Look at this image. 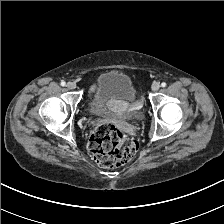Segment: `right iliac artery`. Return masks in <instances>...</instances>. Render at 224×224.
<instances>
[{
    "mask_svg": "<svg viewBox=\"0 0 224 224\" xmlns=\"http://www.w3.org/2000/svg\"><path fill=\"white\" fill-rule=\"evenodd\" d=\"M60 85L61 86H65L66 85V82L65 81H61Z\"/></svg>",
    "mask_w": 224,
    "mask_h": 224,
    "instance_id": "obj_1",
    "label": "right iliac artery"
}]
</instances>
